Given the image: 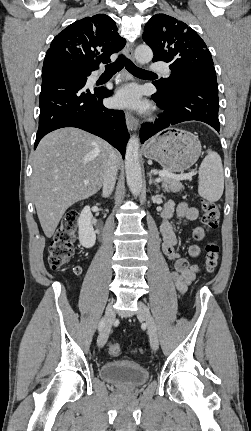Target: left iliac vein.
<instances>
[{
    "label": "left iliac vein",
    "mask_w": 251,
    "mask_h": 431,
    "mask_svg": "<svg viewBox=\"0 0 251 431\" xmlns=\"http://www.w3.org/2000/svg\"><path fill=\"white\" fill-rule=\"evenodd\" d=\"M137 316L145 321L150 338V345L152 349L156 351L159 346L156 323L149 308L141 301L138 302Z\"/></svg>",
    "instance_id": "1"
}]
</instances>
